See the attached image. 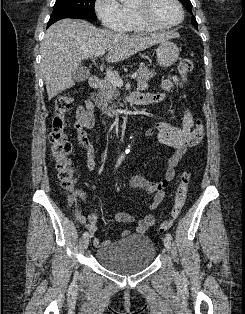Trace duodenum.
I'll return each mask as SVG.
<instances>
[{
	"instance_id": "duodenum-1",
	"label": "duodenum",
	"mask_w": 245,
	"mask_h": 314,
	"mask_svg": "<svg viewBox=\"0 0 245 314\" xmlns=\"http://www.w3.org/2000/svg\"><path fill=\"white\" fill-rule=\"evenodd\" d=\"M100 84H101V79L99 76H97V75H91L90 76V78H89L90 87L98 88L100 86ZM143 99H144V96L142 94L135 93V94H131V95L127 96L124 100V103L127 106H132L134 104L140 103ZM92 109H93V105H92ZM103 123L107 128L113 127L116 124L115 121H107V120H104Z\"/></svg>"
}]
</instances>
